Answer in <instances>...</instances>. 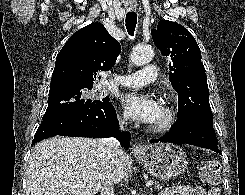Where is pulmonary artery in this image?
<instances>
[{
  "mask_svg": "<svg viewBox=\"0 0 245 195\" xmlns=\"http://www.w3.org/2000/svg\"><path fill=\"white\" fill-rule=\"evenodd\" d=\"M156 77V67L150 64L146 66L144 72L120 74L115 77V81L120 86L139 87L149 84L154 81Z\"/></svg>",
  "mask_w": 245,
  "mask_h": 195,
  "instance_id": "e3ab8cb5",
  "label": "pulmonary artery"
}]
</instances>
